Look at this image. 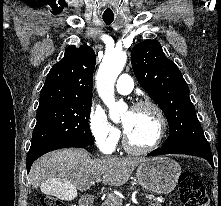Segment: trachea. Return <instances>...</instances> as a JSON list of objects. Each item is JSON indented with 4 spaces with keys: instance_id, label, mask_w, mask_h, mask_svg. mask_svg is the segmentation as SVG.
I'll return each mask as SVG.
<instances>
[{
    "instance_id": "obj_1",
    "label": "trachea",
    "mask_w": 221,
    "mask_h": 206,
    "mask_svg": "<svg viewBox=\"0 0 221 206\" xmlns=\"http://www.w3.org/2000/svg\"><path fill=\"white\" fill-rule=\"evenodd\" d=\"M114 20V16H103V21L107 24L110 25Z\"/></svg>"
}]
</instances>
